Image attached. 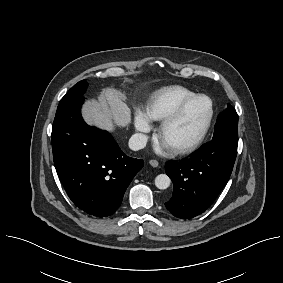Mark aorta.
Listing matches in <instances>:
<instances>
[{"label":"aorta","mask_w":283,"mask_h":283,"mask_svg":"<svg viewBox=\"0 0 283 283\" xmlns=\"http://www.w3.org/2000/svg\"><path fill=\"white\" fill-rule=\"evenodd\" d=\"M171 180L166 174H159L155 178V186L160 189L164 190L170 186Z\"/></svg>","instance_id":"aorta-1"}]
</instances>
